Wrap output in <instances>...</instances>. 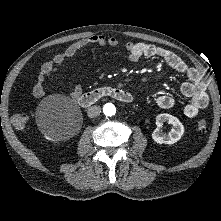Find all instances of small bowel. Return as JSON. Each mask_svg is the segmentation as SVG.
Listing matches in <instances>:
<instances>
[{"instance_id":"obj_1","label":"small bowel","mask_w":221,"mask_h":221,"mask_svg":"<svg viewBox=\"0 0 221 221\" xmlns=\"http://www.w3.org/2000/svg\"><path fill=\"white\" fill-rule=\"evenodd\" d=\"M105 45L117 47L119 40L113 36L93 35L72 43L64 51L43 63L32 88L33 95L37 98L45 96L46 90L43 85L45 79L51 76L56 71L57 66L63 64L67 59L73 58L84 48ZM125 49L128 52V58L131 62H138L143 58L158 57L163 59L165 63L176 72L186 75L188 81L182 84L181 92L189 99L184 107V113L187 117H196L200 110L208 106L209 96L206 91V84L200 73L197 69L188 66L174 52L160 46L141 42H127ZM81 93L82 87L78 85L71 92V97L77 99ZM156 104L162 109H168L174 106L175 101L169 95H160L156 98Z\"/></svg>"}]
</instances>
